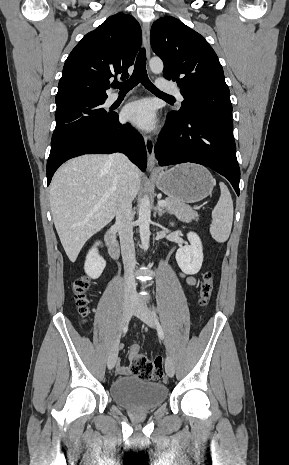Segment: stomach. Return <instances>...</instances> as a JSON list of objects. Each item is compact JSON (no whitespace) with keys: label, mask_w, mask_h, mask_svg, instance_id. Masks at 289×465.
<instances>
[{"label":"stomach","mask_w":289,"mask_h":465,"mask_svg":"<svg viewBox=\"0 0 289 465\" xmlns=\"http://www.w3.org/2000/svg\"><path fill=\"white\" fill-rule=\"evenodd\" d=\"M157 187L170 198L183 203H195L213 190L214 179L203 166L184 163L154 174Z\"/></svg>","instance_id":"stomach-1"}]
</instances>
